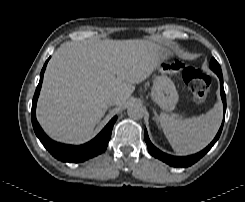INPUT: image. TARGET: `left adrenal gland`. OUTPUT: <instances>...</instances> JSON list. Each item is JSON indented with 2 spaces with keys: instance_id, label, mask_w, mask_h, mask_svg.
I'll return each instance as SVG.
<instances>
[{
  "instance_id": "obj_1",
  "label": "left adrenal gland",
  "mask_w": 245,
  "mask_h": 202,
  "mask_svg": "<svg viewBox=\"0 0 245 202\" xmlns=\"http://www.w3.org/2000/svg\"><path fill=\"white\" fill-rule=\"evenodd\" d=\"M154 115H155V117H156V121H157V123H158L157 113H156V111H155V110H154Z\"/></svg>"
}]
</instances>
